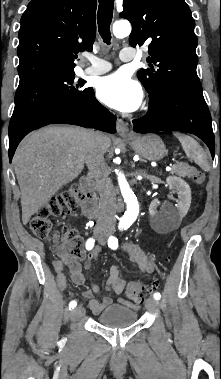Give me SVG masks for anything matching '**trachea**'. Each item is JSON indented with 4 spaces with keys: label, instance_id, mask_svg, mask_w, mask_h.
I'll return each mask as SVG.
<instances>
[{
    "label": "trachea",
    "instance_id": "trachea-1",
    "mask_svg": "<svg viewBox=\"0 0 221 379\" xmlns=\"http://www.w3.org/2000/svg\"><path fill=\"white\" fill-rule=\"evenodd\" d=\"M114 0H99L97 13L98 29L104 42L110 44V24L113 17Z\"/></svg>",
    "mask_w": 221,
    "mask_h": 379
}]
</instances>
